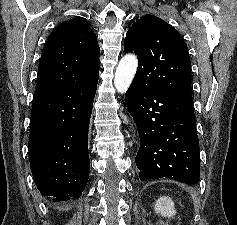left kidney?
<instances>
[{
  "mask_svg": "<svg viewBox=\"0 0 237 225\" xmlns=\"http://www.w3.org/2000/svg\"><path fill=\"white\" fill-rule=\"evenodd\" d=\"M154 210L157 214H161L163 217H172L175 215L176 210L174 208L173 200L168 196H161L155 202Z\"/></svg>",
  "mask_w": 237,
  "mask_h": 225,
  "instance_id": "obj_1",
  "label": "left kidney"
}]
</instances>
